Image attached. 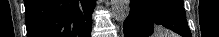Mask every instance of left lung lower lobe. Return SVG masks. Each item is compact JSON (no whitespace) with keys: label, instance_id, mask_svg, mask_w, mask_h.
Segmentation results:
<instances>
[{"label":"left lung lower lobe","instance_id":"left-lung-lower-lobe-1","mask_svg":"<svg viewBox=\"0 0 219 37\" xmlns=\"http://www.w3.org/2000/svg\"><path fill=\"white\" fill-rule=\"evenodd\" d=\"M163 25L183 37H191L183 4L176 0H131L123 29L125 37H148Z\"/></svg>","mask_w":219,"mask_h":37}]
</instances>
